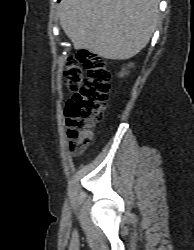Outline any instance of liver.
Segmentation results:
<instances>
[{"instance_id": "1", "label": "liver", "mask_w": 194, "mask_h": 250, "mask_svg": "<svg viewBox=\"0 0 194 250\" xmlns=\"http://www.w3.org/2000/svg\"><path fill=\"white\" fill-rule=\"evenodd\" d=\"M159 0H61L60 24L75 49L126 60L149 42Z\"/></svg>"}]
</instances>
